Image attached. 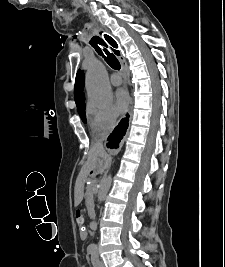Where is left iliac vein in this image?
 Masks as SVG:
<instances>
[{
  "label": "left iliac vein",
  "mask_w": 225,
  "mask_h": 267,
  "mask_svg": "<svg viewBox=\"0 0 225 267\" xmlns=\"http://www.w3.org/2000/svg\"><path fill=\"white\" fill-rule=\"evenodd\" d=\"M99 267H105L103 261H99Z\"/></svg>",
  "instance_id": "left-iliac-vein-1"
}]
</instances>
